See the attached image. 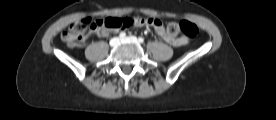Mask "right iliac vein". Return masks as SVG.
Masks as SVG:
<instances>
[{"label": "right iliac vein", "instance_id": "right-iliac-vein-1", "mask_svg": "<svg viewBox=\"0 0 276 120\" xmlns=\"http://www.w3.org/2000/svg\"><path fill=\"white\" fill-rule=\"evenodd\" d=\"M119 43V39L118 38H113L110 41V45L111 46H116Z\"/></svg>", "mask_w": 276, "mask_h": 120}]
</instances>
